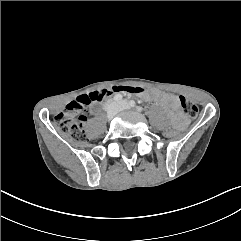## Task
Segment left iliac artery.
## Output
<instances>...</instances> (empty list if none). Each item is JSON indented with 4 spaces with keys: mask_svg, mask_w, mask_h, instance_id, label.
<instances>
[{
    "mask_svg": "<svg viewBox=\"0 0 241 241\" xmlns=\"http://www.w3.org/2000/svg\"><path fill=\"white\" fill-rule=\"evenodd\" d=\"M129 105H130L131 107H136V109L139 110V111L141 110L140 107L136 106V103H135V101H133V100H130V101H129Z\"/></svg>",
    "mask_w": 241,
    "mask_h": 241,
    "instance_id": "44dca946",
    "label": "left iliac artery"
}]
</instances>
